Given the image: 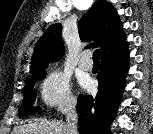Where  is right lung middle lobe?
<instances>
[{
	"label": "right lung middle lobe",
	"instance_id": "right-lung-middle-lobe-1",
	"mask_svg": "<svg viewBox=\"0 0 153 134\" xmlns=\"http://www.w3.org/2000/svg\"><path fill=\"white\" fill-rule=\"evenodd\" d=\"M45 74H46L45 71H41L29 76L26 79V85L24 89L25 98L23 99V102L21 105L19 117L30 115L39 109L38 107L33 106V103L36 97V90L34 89V85L36 84L38 80L43 79Z\"/></svg>",
	"mask_w": 153,
	"mask_h": 134
}]
</instances>
